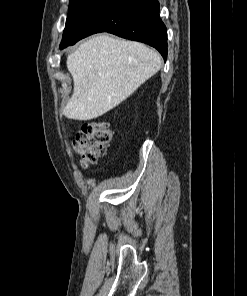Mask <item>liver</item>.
<instances>
[{
	"label": "liver",
	"mask_w": 247,
	"mask_h": 296,
	"mask_svg": "<svg viewBox=\"0 0 247 296\" xmlns=\"http://www.w3.org/2000/svg\"><path fill=\"white\" fill-rule=\"evenodd\" d=\"M162 66L146 45L106 34L91 37L67 57L74 90L63 113L68 119H95L131 96Z\"/></svg>",
	"instance_id": "6515ba94"
}]
</instances>
